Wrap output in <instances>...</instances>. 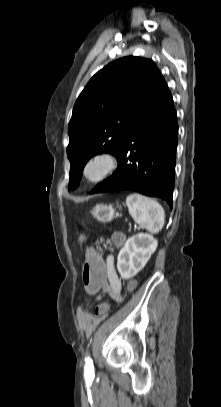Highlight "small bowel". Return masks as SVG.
<instances>
[{
	"label": "small bowel",
	"instance_id": "obj_1",
	"mask_svg": "<svg viewBox=\"0 0 221 407\" xmlns=\"http://www.w3.org/2000/svg\"><path fill=\"white\" fill-rule=\"evenodd\" d=\"M106 265L108 267V285L104 286V290L102 293L108 294L110 299L105 300L111 306V299L116 300V301H122L123 296H122V281L115 269V261L114 257L112 255H108L106 258ZM84 271V268H83ZM99 292H85L86 295L88 296H96L97 303L99 304L101 301V296L98 294ZM104 302V301H103ZM101 302L100 304H102ZM107 316V314H106ZM105 316V317H106ZM104 317V318H105ZM77 318H78V324L81 329V331L86 335H90L96 326L100 323V321L103 318H99L97 316V311L95 313L89 312L87 309H85L83 306L78 307L77 309Z\"/></svg>",
	"mask_w": 221,
	"mask_h": 407
}]
</instances>
